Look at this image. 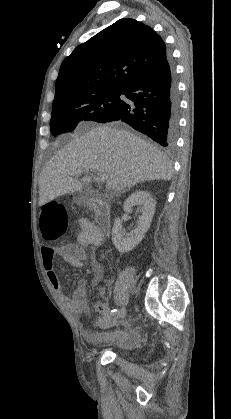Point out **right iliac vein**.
I'll return each mask as SVG.
<instances>
[{
	"label": "right iliac vein",
	"instance_id": "right-iliac-vein-1",
	"mask_svg": "<svg viewBox=\"0 0 231 419\" xmlns=\"http://www.w3.org/2000/svg\"><path fill=\"white\" fill-rule=\"evenodd\" d=\"M126 313H127V309L125 308V307H123L122 309H120L119 311H118V313H117V315H116V319H122V318H124L125 317V315H126Z\"/></svg>",
	"mask_w": 231,
	"mask_h": 419
}]
</instances>
